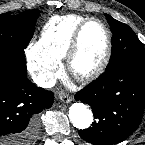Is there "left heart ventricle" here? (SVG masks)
I'll return each instance as SVG.
<instances>
[{
    "label": "left heart ventricle",
    "mask_w": 145,
    "mask_h": 145,
    "mask_svg": "<svg viewBox=\"0 0 145 145\" xmlns=\"http://www.w3.org/2000/svg\"><path fill=\"white\" fill-rule=\"evenodd\" d=\"M105 47L106 37L102 27L97 23L87 25L81 37L80 51L73 64L75 73H85L96 67Z\"/></svg>",
    "instance_id": "left-heart-ventricle-1"
}]
</instances>
